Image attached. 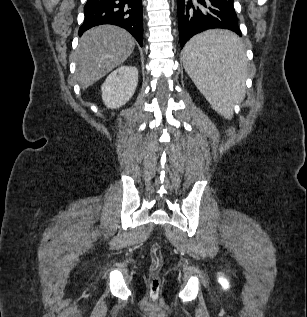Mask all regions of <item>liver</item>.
I'll return each instance as SVG.
<instances>
[{"label": "liver", "mask_w": 307, "mask_h": 317, "mask_svg": "<svg viewBox=\"0 0 307 317\" xmlns=\"http://www.w3.org/2000/svg\"><path fill=\"white\" fill-rule=\"evenodd\" d=\"M134 48V38L120 27L102 25L86 31L75 51V75L81 88H88L121 65Z\"/></svg>", "instance_id": "obj_1"}]
</instances>
